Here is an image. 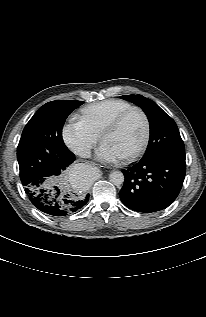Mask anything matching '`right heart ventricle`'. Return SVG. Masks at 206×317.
<instances>
[{
  "instance_id": "right-heart-ventricle-1",
  "label": "right heart ventricle",
  "mask_w": 206,
  "mask_h": 317,
  "mask_svg": "<svg viewBox=\"0 0 206 317\" xmlns=\"http://www.w3.org/2000/svg\"><path fill=\"white\" fill-rule=\"evenodd\" d=\"M132 107L129 102L109 99L90 104L80 110V119L97 136H100L106 125L117 115Z\"/></svg>"
}]
</instances>
